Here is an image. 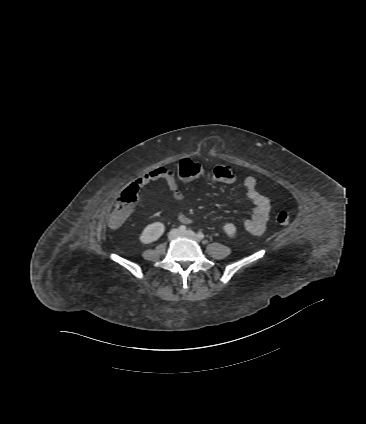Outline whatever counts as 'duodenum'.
Listing matches in <instances>:
<instances>
[{"mask_svg":"<svg viewBox=\"0 0 366 424\" xmlns=\"http://www.w3.org/2000/svg\"><path fill=\"white\" fill-rule=\"evenodd\" d=\"M181 221H187L188 219L184 216H180Z\"/></svg>","mask_w":366,"mask_h":424,"instance_id":"410a0bca","label":"duodenum"}]
</instances>
